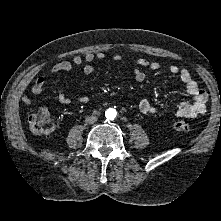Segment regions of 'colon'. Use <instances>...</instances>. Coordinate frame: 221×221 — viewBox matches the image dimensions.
Instances as JSON below:
<instances>
[{
    "label": "colon",
    "instance_id": "5ec220e1",
    "mask_svg": "<svg viewBox=\"0 0 221 221\" xmlns=\"http://www.w3.org/2000/svg\"><path fill=\"white\" fill-rule=\"evenodd\" d=\"M31 131L36 135L50 134L54 129V124L45 109H39L32 113L28 118ZM172 128L180 133H186L190 130V122L187 119H180L172 124Z\"/></svg>",
    "mask_w": 221,
    "mask_h": 221
}]
</instances>
